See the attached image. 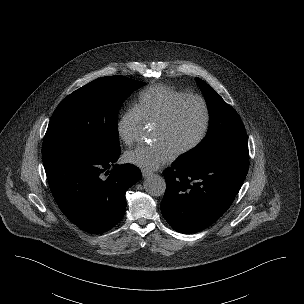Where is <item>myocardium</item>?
<instances>
[{
	"label": "myocardium",
	"mask_w": 304,
	"mask_h": 304,
	"mask_svg": "<svg viewBox=\"0 0 304 304\" xmlns=\"http://www.w3.org/2000/svg\"><path fill=\"white\" fill-rule=\"evenodd\" d=\"M188 101H197L203 112V119L200 130L194 140L188 144L187 146L179 149L175 152V157H181L190 152L194 151L204 140L210 125V108L208 105L207 100L198 94H187L180 99L176 100L166 111L163 117L156 123V127L165 128L167 127L173 120L175 114L177 113L178 109Z\"/></svg>",
	"instance_id": "myocardium-1"
}]
</instances>
